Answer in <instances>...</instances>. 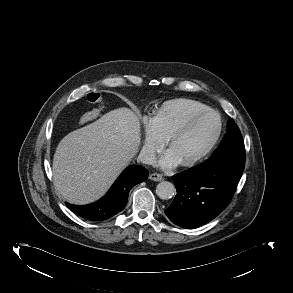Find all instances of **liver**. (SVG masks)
Here are the masks:
<instances>
[{"label": "liver", "mask_w": 293, "mask_h": 293, "mask_svg": "<svg viewBox=\"0 0 293 293\" xmlns=\"http://www.w3.org/2000/svg\"><path fill=\"white\" fill-rule=\"evenodd\" d=\"M140 122L118 108L67 134L53 159V179L68 202L84 205L102 197L129 165L140 145Z\"/></svg>", "instance_id": "obj_1"}]
</instances>
